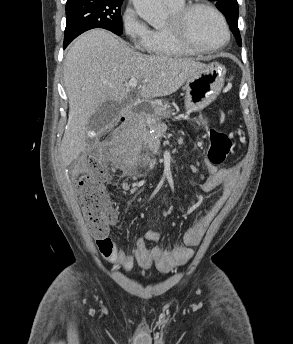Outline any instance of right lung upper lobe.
<instances>
[{"label": "right lung upper lobe", "instance_id": "cb5924a9", "mask_svg": "<svg viewBox=\"0 0 293 344\" xmlns=\"http://www.w3.org/2000/svg\"><path fill=\"white\" fill-rule=\"evenodd\" d=\"M77 1H80V0H67L66 4H69V3H72V2H77Z\"/></svg>", "mask_w": 293, "mask_h": 344}]
</instances>
